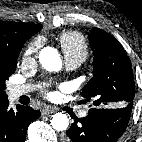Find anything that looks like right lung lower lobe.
<instances>
[{"instance_id":"1","label":"right lung lower lobe","mask_w":142,"mask_h":142,"mask_svg":"<svg viewBox=\"0 0 142 142\" xmlns=\"http://www.w3.org/2000/svg\"><path fill=\"white\" fill-rule=\"evenodd\" d=\"M40 116L39 110L30 106H17L14 111L8 99L0 102V142H25L27 128L31 121Z\"/></svg>"}]
</instances>
